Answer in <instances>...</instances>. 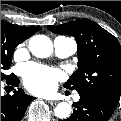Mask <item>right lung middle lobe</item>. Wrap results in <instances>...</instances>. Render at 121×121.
I'll use <instances>...</instances> for the list:
<instances>
[{
  "label": "right lung middle lobe",
  "instance_id": "dd1d6c3e",
  "mask_svg": "<svg viewBox=\"0 0 121 121\" xmlns=\"http://www.w3.org/2000/svg\"><path fill=\"white\" fill-rule=\"evenodd\" d=\"M24 40L26 38L15 25L1 20V81L8 77L4 71L11 65L15 47Z\"/></svg>",
  "mask_w": 121,
  "mask_h": 121
}]
</instances>
